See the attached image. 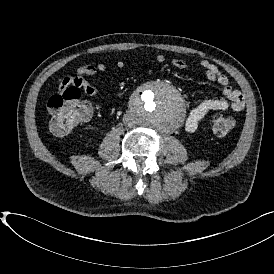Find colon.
<instances>
[{
	"label": "colon",
	"instance_id": "5ec220e1",
	"mask_svg": "<svg viewBox=\"0 0 274 274\" xmlns=\"http://www.w3.org/2000/svg\"><path fill=\"white\" fill-rule=\"evenodd\" d=\"M49 111L54 112L49 127L55 136H65L81 123L89 121L94 112L91 101L81 99L79 89L51 95L47 101ZM234 119L224 114H216L211 120V129L215 135L224 136L234 128Z\"/></svg>",
	"mask_w": 274,
	"mask_h": 274
}]
</instances>
